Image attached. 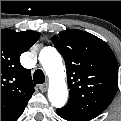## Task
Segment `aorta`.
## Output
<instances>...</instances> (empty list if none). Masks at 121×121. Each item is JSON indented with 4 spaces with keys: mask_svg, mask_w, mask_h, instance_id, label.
Here are the masks:
<instances>
[{
    "mask_svg": "<svg viewBox=\"0 0 121 121\" xmlns=\"http://www.w3.org/2000/svg\"><path fill=\"white\" fill-rule=\"evenodd\" d=\"M39 60L50 81L48 89L49 101L52 106L61 108L65 105L68 97L67 85L65 83L66 73L62 64V58L54 47L48 46L40 51Z\"/></svg>",
    "mask_w": 121,
    "mask_h": 121,
    "instance_id": "762f6f07",
    "label": "aorta"
}]
</instances>
